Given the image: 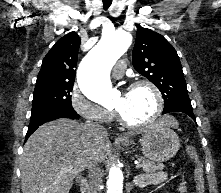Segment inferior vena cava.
Returning <instances> with one entry per match:
<instances>
[{"label":"inferior vena cava","instance_id":"602c4592","mask_svg":"<svg viewBox=\"0 0 221 193\" xmlns=\"http://www.w3.org/2000/svg\"><path fill=\"white\" fill-rule=\"evenodd\" d=\"M86 125L95 132L106 133L105 129L95 122L88 121L86 122ZM86 168L88 170V179L91 193H101V176L98 163L95 160H90Z\"/></svg>","mask_w":221,"mask_h":193}]
</instances>
